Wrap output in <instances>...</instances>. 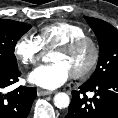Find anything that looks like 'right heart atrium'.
Returning <instances> with one entry per match:
<instances>
[{"label": "right heart atrium", "instance_id": "obj_1", "mask_svg": "<svg viewBox=\"0 0 118 118\" xmlns=\"http://www.w3.org/2000/svg\"><path fill=\"white\" fill-rule=\"evenodd\" d=\"M44 54V49L37 39L30 33L23 34L14 46L15 58L25 66L37 64Z\"/></svg>", "mask_w": 118, "mask_h": 118}]
</instances>
